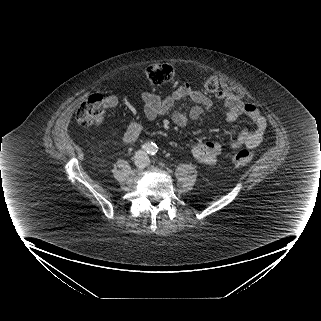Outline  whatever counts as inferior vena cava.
<instances>
[{"label":"inferior vena cava","mask_w":321,"mask_h":321,"mask_svg":"<svg viewBox=\"0 0 321 321\" xmlns=\"http://www.w3.org/2000/svg\"><path fill=\"white\" fill-rule=\"evenodd\" d=\"M138 158L136 159V163L138 165H146L149 162V157L144 151L138 152Z\"/></svg>","instance_id":"602c4592"}]
</instances>
